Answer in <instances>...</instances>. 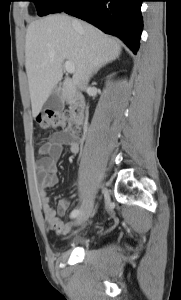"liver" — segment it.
I'll use <instances>...</instances> for the list:
<instances>
[{
    "label": "liver",
    "mask_w": 181,
    "mask_h": 300,
    "mask_svg": "<svg viewBox=\"0 0 181 300\" xmlns=\"http://www.w3.org/2000/svg\"><path fill=\"white\" fill-rule=\"evenodd\" d=\"M120 53L116 39L67 15H49L30 23L25 40V67L33 117L40 113L61 81L64 61L75 67L73 78H67L62 86V100H70L98 67L115 60Z\"/></svg>",
    "instance_id": "1"
}]
</instances>
